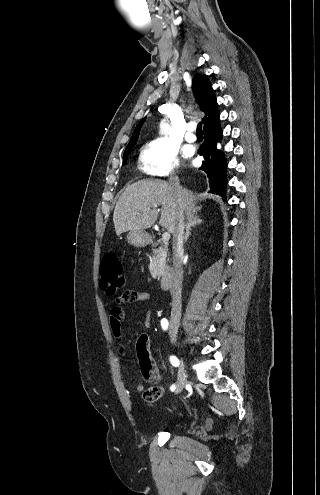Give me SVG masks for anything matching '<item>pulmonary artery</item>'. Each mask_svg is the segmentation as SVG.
Returning <instances> with one entry per match:
<instances>
[{"instance_id": "pulmonary-artery-1", "label": "pulmonary artery", "mask_w": 320, "mask_h": 495, "mask_svg": "<svg viewBox=\"0 0 320 495\" xmlns=\"http://www.w3.org/2000/svg\"><path fill=\"white\" fill-rule=\"evenodd\" d=\"M194 126L191 124L187 128V132L185 134V139L188 142H195L196 141V135L194 134Z\"/></svg>"}]
</instances>
